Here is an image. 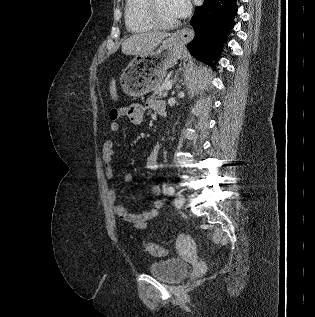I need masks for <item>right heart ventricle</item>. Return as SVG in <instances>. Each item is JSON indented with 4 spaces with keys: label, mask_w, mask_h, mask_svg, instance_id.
Returning a JSON list of instances; mask_svg holds the SVG:
<instances>
[{
    "label": "right heart ventricle",
    "mask_w": 315,
    "mask_h": 317,
    "mask_svg": "<svg viewBox=\"0 0 315 317\" xmlns=\"http://www.w3.org/2000/svg\"><path fill=\"white\" fill-rule=\"evenodd\" d=\"M145 4L146 0H126L124 19L128 31L142 33L153 29L145 17Z\"/></svg>",
    "instance_id": "obj_1"
}]
</instances>
